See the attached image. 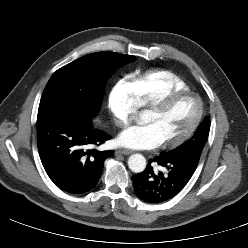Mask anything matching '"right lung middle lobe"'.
<instances>
[{
    "label": "right lung middle lobe",
    "mask_w": 248,
    "mask_h": 248,
    "mask_svg": "<svg viewBox=\"0 0 248 248\" xmlns=\"http://www.w3.org/2000/svg\"><path fill=\"white\" fill-rule=\"evenodd\" d=\"M134 56L97 52L58 69L49 79L38 114L49 112L94 117L98 114L107 80Z\"/></svg>",
    "instance_id": "right-lung-middle-lobe-1"
}]
</instances>
